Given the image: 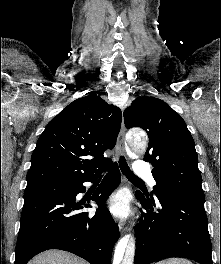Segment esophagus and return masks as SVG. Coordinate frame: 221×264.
<instances>
[{"instance_id": "esophagus-1", "label": "esophagus", "mask_w": 221, "mask_h": 264, "mask_svg": "<svg viewBox=\"0 0 221 264\" xmlns=\"http://www.w3.org/2000/svg\"><path fill=\"white\" fill-rule=\"evenodd\" d=\"M125 133H126V128H125L124 120L122 117L121 129H120L119 138H118V151L120 154H123L126 148ZM119 230L121 234H123L126 231L124 223H119Z\"/></svg>"}]
</instances>
